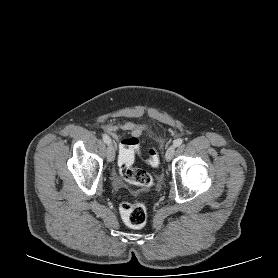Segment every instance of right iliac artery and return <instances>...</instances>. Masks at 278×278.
I'll list each match as a JSON object with an SVG mask.
<instances>
[{"label": "right iliac artery", "instance_id": "obj_1", "mask_svg": "<svg viewBox=\"0 0 278 278\" xmlns=\"http://www.w3.org/2000/svg\"><path fill=\"white\" fill-rule=\"evenodd\" d=\"M103 141L106 143V144H110L111 143V139L108 135H103Z\"/></svg>", "mask_w": 278, "mask_h": 278}]
</instances>
